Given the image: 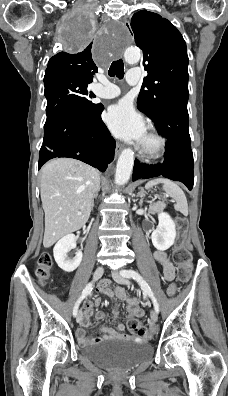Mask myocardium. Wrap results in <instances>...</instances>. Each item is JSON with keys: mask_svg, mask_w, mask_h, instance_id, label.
<instances>
[{"mask_svg": "<svg viewBox=\"0 0 228 396\" xmlns=\"http://www.w3.org/2000/svg\"><path fill=\"white\" fill-rule=\"evenodd\" d=\"M147 135L154 140V144L152 146H146L141 143L139 147L140 154L147 159L160 158L166 148L165 138L158 131L152 128L149 129Z\"/></svg>", "mask_w": 228, "mask_h": 396, "instance_id": "obj_1", "label": "myocardium"}]
</instances>
